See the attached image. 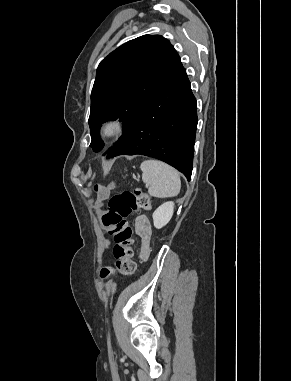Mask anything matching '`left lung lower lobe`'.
I'll use <instances>...</instances> for the list:
<instances>
[{
	"mask_svg": "<svg viewBox=\"0 0 291 381\" xmlns=\"http://www.w3.org/2000/svg\"><path fill=\"white\" fill-rule=\"evenodd\" d=\"M197 122L196 99L182 66L148 101L107 158L150 156L175 167L190 181Z\"/></svg>",
	"mask_w": 291,
	"mask_h": 381,
	"instance_id": "0a47b994",
	"label": "left lung lower lobe"
}]
</instances>
